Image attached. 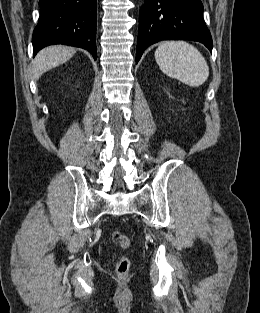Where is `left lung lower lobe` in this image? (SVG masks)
<instances>
[{"label": "left lung lower lobe", "mask_w": 260, "mask_h": 313, "mask_svg": "<svg viewBox=\"0 0 260 313\" xmlns=\"http://www.w3.org/2000/svg\"><path fill=\"white\" fill-rule=\"evenodd\" d=\"M176 39L198 41L212 51L201 0H145L139 17L136 63L148 46Z\"/></svg>", "instance_id": "1"}]
</instances>
